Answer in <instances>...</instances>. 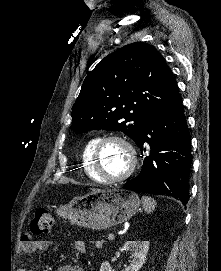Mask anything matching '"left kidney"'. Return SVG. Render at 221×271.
Returning <instances> with one entry per match:
<instances>
[{
    "label": "left kidney",
    "instance_id": "1",
    "mask_svg": "<svg viewBox=\"0 0 221 271\" xmlns=\"http://www.w3.org/2000/svg\"><path fill=\"white\" fill-rule=\"evenodd\" d=\"M123 249L125 251H132L131 263L123 271H139L140 267L145 263L149 241H125ZM100 271H114V269H112L109 261H103Z\"/></svg>",
    "mask_w": 221,
    "mask_h": 271
}]
</instances>
